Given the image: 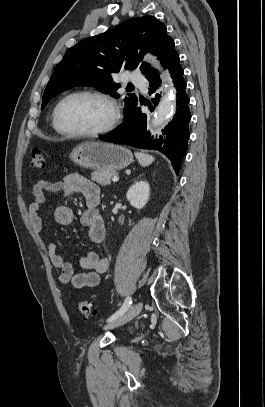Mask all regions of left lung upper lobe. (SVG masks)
I'll use <instances>...</instances> for the list:
<instances>
[{"mask_svg": "<svg viewBox=\"0 0 265 407\" xmlns=\"http://www.w3.org/2000/svg\"><path fill=\"white\" fill-rule=\"evenodd\" d=\"M143 52L158 56L164 68L169 70L179 60L173 39L167 34L166 26L154 16L134 18L105 33L82 40L69 48L56 67L43 95L41 109L51 98L74 86H92L119 98L120 87L112 79V73L120 69L139 67L145 77L158 76L146 62ZM137 96L129 94L124 99V117L137 106Z\"/></svg>", "mask_w": 265, "mask_h": 407, "instance_id": "5c2ea615", "label": "left lung upper lobe"}]
</instances>
